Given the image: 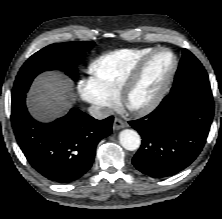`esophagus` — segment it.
Instances as JSON below:
<instances>
[{
  "label": "esophagus",
  "instance_id": "34e87169",
  "mask_svg": "<svg viewBox=\"0 0 222 219\" xmlns=\"http://www.w3.org/2000/svg\"><path fill=\"white\" fill-rule=\"evenodd\" d=\"M126 126L125 122L119 118V117H116L114 119V122H113V129L114 130H119V129H122Z\"/></svg>",
  "mask_w": 222,
  "mask_h": 219
}]
</instances>
